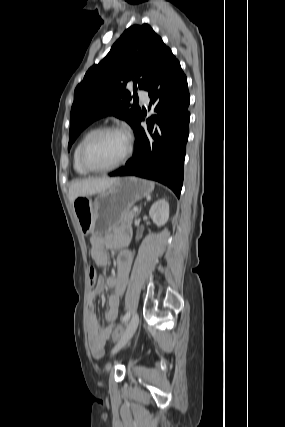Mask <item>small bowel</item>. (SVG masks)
Returning <instances> with one entry per match:
<instances>
[{
	"label": "small bowel",
	"mask_w": 285,
	"mask_h": 427,
	"mask_svg": "<svg viewBox=\"0 0 285 427\" xmlns=\"http://www.w3.org/2000/svg\"><path fill=\"white\" fill-rule=\"evenodd\" d=\"M130 233L123 229L116 234L106 236L93 235L91 237V255L96 264L105 267L108 264L107 249H119L129 239ZM132 265V254L128 250H122L117 258V274L104 278L99 276L95 286L88 293L89 310V347L94 358L99 359L104 354V346L111 335L112 327L119 314L120 297L123 294ZM105 285L112 289L107 300V312L102 323L96 313L94 300L102 293Z\"/></svg>",
	"instance_id": "small-bowel-1"
}]
</instances>
